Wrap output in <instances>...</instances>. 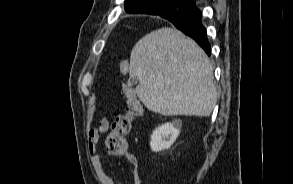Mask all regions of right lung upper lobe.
I'll use <instances>...</instances> for the list:
<instances>
[{
    "mask_svg": "<svg viewBox=\"0 0 293 184\" xmlns=\"http://www.w3.org/2000/svg\"><path fill=\"white\" fill-rule=\"evenodd\" d=\"M192 0H126L125 11L131 14L159 15L163 18L194 5Z\"/></svg>",
    "mask_w": 293,
    "mask_h": 184,
    "instance_id": "cb5924a9",
    "label": "right lung upper lobe"
}]
</instances>
